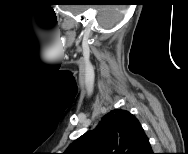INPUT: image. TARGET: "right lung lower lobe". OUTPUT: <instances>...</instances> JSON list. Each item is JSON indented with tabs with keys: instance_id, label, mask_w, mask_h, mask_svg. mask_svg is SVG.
Masks as SVG:
<instances>
[{
	"instance_id": "1",
	"label": "right lung lower lobe",
	"mask_w": 188,
	"mask_h": 154,
	"mask_svg": "<svg viewBox=\"0 0 188 154\" xmlns=\"http://www.w3.org/2000/svg\"><path fill=\"white\" fill-rule=\"evenodd\" d=\"M152 149H150L149 151L146 152V154H152Z\"/></svg>"
}]
</instances>
